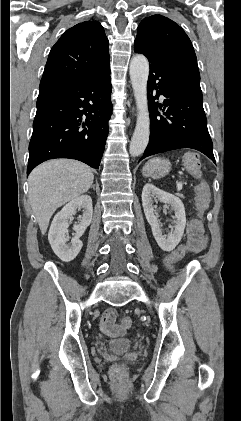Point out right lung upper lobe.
Wrapping results in <instances>:
<instances>
[{
    "label": "right lung upper lobe",
    "instance_id": "1",
    "mask_svg": "<svg viewBox=\"0 0 241 421\" xmlns=\"http://www.w3.org/2000/svg\"><path fill=\"white\" fill-rule=\"evenodd\" d=\"M110 66L108 39L99 22L88 20L68 29L52 47L40 91L90 78Z\"/></svg>",
    "mask_w": 241,
    "mask_h": 421
}]
</instances>
